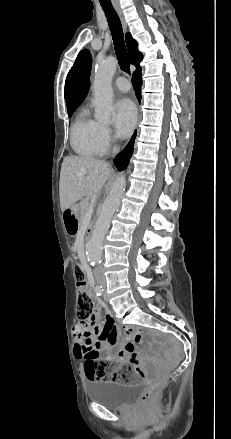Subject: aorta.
Instances as JSON below:
<instances>
[{"label":"aorta","mask_w":231,"mask_h":439,"mask_svg":"<svg viewBox=\"0 0 231 439\" xmlns=\"http://www.w3.org/2000/svg\"><path fill=\"white\" fill-rule=\"evenodd\" d=\"M117 68V60L110 56L97 64L93 83L95 118L103 123L110 121L113 112L112 78ZM126 180L124 175L114 182L109 195L105 199L99 217L96 221L91 239L86 244V255L95 265L102 257L103 240L109 229L111 218L118 209L125 191Z\"/></svg>","instance_id":"762f6f07"}]
</instances>
